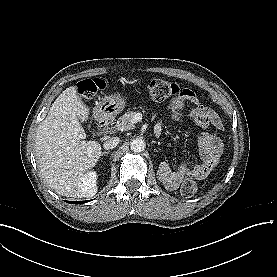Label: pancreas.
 <instances>
[{"label":"pancreas","instance_id":"obj_1","mask_svg":"<svg viewBox=\"0 0 277 277\" xmlns=\"http://www.w3.org/2000/svg\"><path fill=\"white\" fill-rule=\"evenodd\" d=\"M136 112L134 111H128L123 116H121L116 124V127L118 129L123 130H130L134 127V123L132 122L133 117L135 116Z\"/></svg>","mask_w":277,"mask_h":277}]
</instances>
